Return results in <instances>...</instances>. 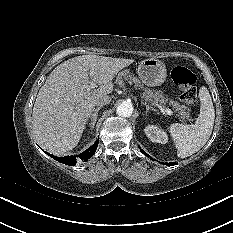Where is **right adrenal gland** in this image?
I'll list each match as a JSON object with an SVG mask.
<instances>
[{"instance_id":"right-adrenal-gland-1","label":"right adrenal gland","mask_w":233,"mask_h":233,"mask_svg":"<svg viewBox=\"0 0 233 233\" xmlns=\"http://www.w3.org/2000/svg\"><path fill=\"white\" fill-rule=\"evenodd\" d=\"M101 108H102V106L97 107V108L91 113V115H90V117H89V118L91 119L90 125H91L92 128L95 126V123H96V121H97L98 112H99V110H100Z\"/></svg>"}]
</instances>
